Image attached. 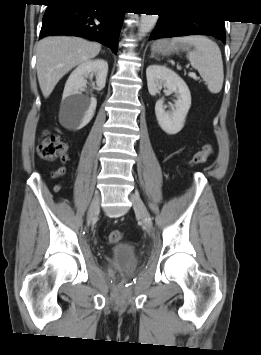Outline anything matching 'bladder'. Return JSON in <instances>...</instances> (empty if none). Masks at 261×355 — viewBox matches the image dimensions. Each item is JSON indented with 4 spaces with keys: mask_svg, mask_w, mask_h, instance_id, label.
<instances>
[{
    "mask_svg": "<svg viewBox=\"0 0 261 355\" xmlns=\"http://www.w3.org/2000/svg\"><path fill=\"white\" fill-rule=\"evenodd\" d=\"M138 263L136 250L130 243H119L111 251L109 257L110 269L115 273H131Z\"/></svg>",
    "mask_w": 261,
    "mask_h": 355,
    "instance_id": "1",
    "label": "bladder"
}]
</instances>
